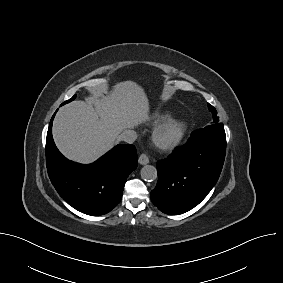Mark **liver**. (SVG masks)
I'll return each instance as SVG.
<instances>
[{"instance_id": "obj_1", "label": "liver", "mask_w": 283, "mask_h": 283, "mask_svg": "<svg viewBox=\"0 0 283 283\" xmlns=\"http://www.w3.org/2000/svg\"><path fill=\"white\" fill-rule=\"evenodd\" d=\"M148 119L149 102L143 88L124 81L107 97L62 107L54 119L53 137L64 156L88 164L108 151L123 130Z\"/></svg>"}]
</instances>
